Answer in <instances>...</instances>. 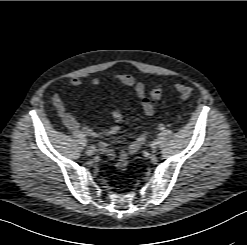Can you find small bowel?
Instances as JSON below:
<instances>
[{"instance_id":"small-bowel-1","label":"small bowel","mask_w":247,"mask_h":245,"mask_svg":"<svg viewBox=\"0 0 247 245\" xmlns=\"http://www.w3.org/2000/svg\"><path fill=\"white\" fill-rule=\"evenodd\" d=\"M111 76L118 82H120L123 86L133 88L137 97L141 101V106L144 113L147 116H153L155 111L154 106L152 102L146 97V87L144 83L137 80L133 75L128 73H116L112 74ZM89 83L92 86H98L101 83V80L98 77H93L89 80ZM82 84L83 80L80 77H75L68 82V87L75 88ZM52 104L64 126L71 132H81L88 137H99L102 135L119 136V134L121 133L123 116L122 112L119 109H113L110 112V118L113 119L114 125L105 131L98 132L77 120L76 117L67 110L65 102L59 93H55L52 96ZM151 133L152 128H146L135 140H133L129 144L127 150L128 154H135L140 149V147L149 139ZM100 149L110 158L116 157V154L108 147L106 143H101Z\"/></svg>"}]
</instances>
